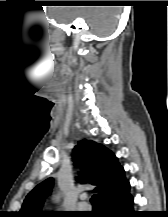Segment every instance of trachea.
Here are the masks:
<instances>
[{"label": "trachea", "mask_w": 168, "mask_h": 217, "mask_svg": "<svg viewBox=\"0 0 168 217\" xmlns=\"http://www.w3.org/2000/svg\"><path fill=\"white\" fill-rule=\"evenodd\" d=\"M91 203H92V205L93 206H97L98 205V201H97V195H93L92 197H91Z\"/></svg>", "instance_id": "1"}]
</instances>
